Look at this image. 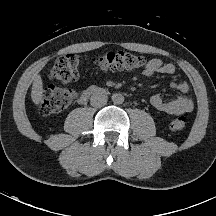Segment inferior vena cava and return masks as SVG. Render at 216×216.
<instances>
[{
    "label": "inferior vena cava",
    "mask_w": 216,
    "mask_h": 216,
    "mask_svg": "<svg viewBox=\"0 0 216 216\" xmlns=\"http://www.w3.org/2000/svg\"><path fill=\"white\" fill-rule=\"evenodd\" d=\"M107 96L102 93H95L90 98V104L93 107L100 108L107 104Z\"/></svg>",
    "instance_id": "1"
}]
</instances>
